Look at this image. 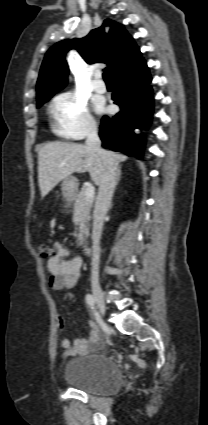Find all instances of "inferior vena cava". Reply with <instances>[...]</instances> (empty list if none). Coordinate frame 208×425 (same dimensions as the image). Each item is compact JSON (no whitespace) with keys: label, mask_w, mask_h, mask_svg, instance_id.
<instances>
[{"label":"inferior vena cava","mask_w":208,"mask_h":425,"mask_svg":"<svg viewBox=\"0 0 208 425\" xmlns=\"http://www.w3.org/2000/svg\"><path fill=\"white\" fill-rule=\"evenodd\" d=\"M86 146L89 150L98 154L104 163V170L99 183L98 196L93 212L92 230V262L91 281L98 283L99 262H100V238L102 234L103 222L106 213L111 207V200L116 186L118 162L115 156L101 148V140L95 126L90 125L87 129Z\"/></svg>","instance_id":"inferior-vena-cava-1"}]
</instances>
